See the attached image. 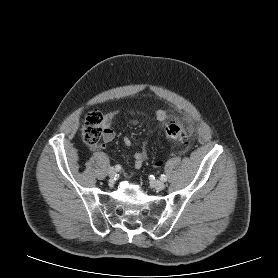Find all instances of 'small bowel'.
Masks as SVG:
<instances>
[{"instance_id": "c3829d8e", "label": "small bowel", "mask_w": 278, "mask_h": 278, "mask_svg": "<svg viewBox=\"0 0 278 278\" xmlns=\"http://www.w3.org/2000/svg\"><path fill=\"white\" fill-rule=\"evenodd\" d=\"M121 114H125L129 116L130 122L133 124H137L138 117L142 115V112L140 110H124V111L116 110V111L108 112L104 116V120H103V141L105 143L111 142L114 139L115 132L113 130V122L116 119V117H118ZM167 116H168L167 112L162 109L157 110L155 113V118L159 122L166 120ZM123 143L128 147L131 146L132 144L131 139L129 137H124ZM104 147H105L104 145L101 146V148ZM146 158H147V151L144 147H142L134 154V161H133L134 167L136 169H139L144 163V161L146 160ZM155 165L159 166L161 165V163L157 162Z\"/></svg>"}]
</instances>
